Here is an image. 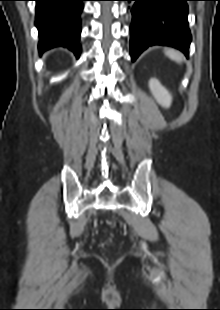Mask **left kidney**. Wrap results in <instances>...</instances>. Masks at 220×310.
<instances>
[{
  "label": "left kidney",
  "instance_id": "obj_1",
  "mask_svg": "<svg viewBox=\"0 0 220 310\" xmlns=\"http://www.w3.org/2000/svg\"><path fill=\"white\" fill-rule=\"evenodd\" d=\"M149 89L157 101L162 107L168 108L170 106V96L167 90L160 84L157 79H150Z\"/></svg>",
  "mask_w": 220,
  "mask_h": 310
}]
</instances>
